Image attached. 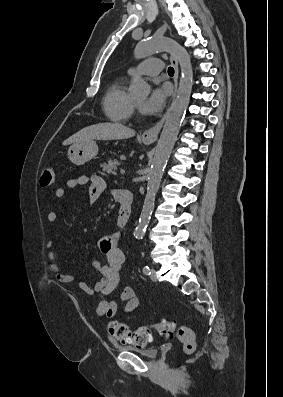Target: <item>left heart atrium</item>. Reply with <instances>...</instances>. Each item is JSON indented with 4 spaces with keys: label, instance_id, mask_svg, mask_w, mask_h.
<instances>
[{
    "label": "left heart atrium",
    "instance_id": "39dd6f15",
    "mask_svg": "<svg viewBox=\"0 0 283 397\" xmlns=\"http://www.w3.org/2000/svg\"><path fill=\"white\" fill-rule=\"evenodd\" d=\"M169 92L166 86L155 87L149 97L140 104L141 112L146 115L158 113L163 108Z\"/></svg>",
    "mask_w": 283,
    "mask_h": 397
}]
</instances>
